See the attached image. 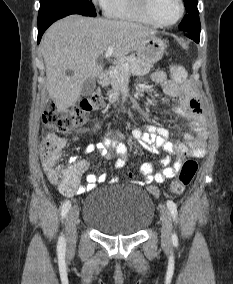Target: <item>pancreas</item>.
Here are the masks:
<instances>
[{
	"mask_svg": "<svg viewBox=\"0 0 233 284\" xmlns=\"http://www.w3.org/2000/svg\"><path fill=\"white\" fill-rule=\"evenodd\" d=\"M152 67V64L145 63L135 54L121 58L113 70L111 79L112 90L108 92L109 101L113 103L118 99L119 91L125 77L130 74L146 75L150 72Z\"/></svg>",
	"mask_w": 233,
	"mask_h": 284,
	"instance_id": "obj_1",
	"label": "pancreas"
}]
</instances>
